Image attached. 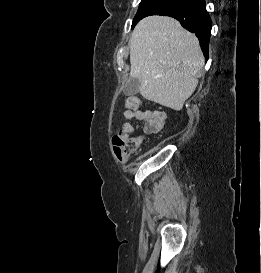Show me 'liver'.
<instances>
[{"label": "liver", "instance_id": "6515ba94", "mask_svg": "<svg viewBox=\"0 0 261 273\" xmlns=\"http://www.w3.org/2000/svg\"><path fill=\"white\" fill-rule=\"evenodd\" d=\"M205 59L197 37L171 18L142 19L130 38V76L145 99L179 111L193 94Z\"/></svg>", "mask_w": 261, "mask_h": 273}]
</instances>
